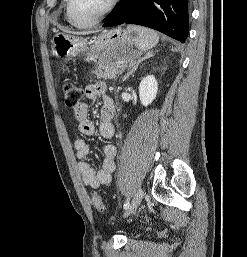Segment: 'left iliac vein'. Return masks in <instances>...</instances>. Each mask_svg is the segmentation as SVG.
<instances>
[{"label": "left iliac vein", "mask_w": 247, "mask_h": 257, "mask_svg": "<svg viewBox=\"0 0 247 257\" xmlns=\"http://www.w3.org/2000/svg\"><path fill=\"white\" fill-rule=\"evenodd\" d=\"M142 198H143V191L141 188H139L136 191L129 208L124 213V217H128L129 215L135 213L137 207L140 205V203L142 201Z\"/></svg>", "instance_id": "1"}]
</instances>
